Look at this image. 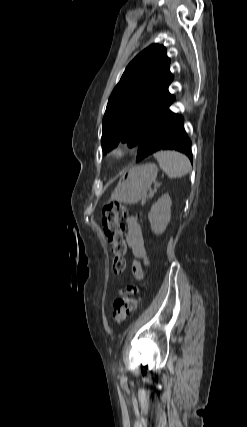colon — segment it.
<instances>
[{
    "label": "colon",
    "instance_id": "colon-1",
    "mask_svg": "<svg viewBox=\"0 0 247 427\" xmlns=\"http://www.w3.org/2000/svg\"><path fill=\"white\" fill-rule=\"evenodd\" d=\"M127 215L124 205L112 202L103 208L102 226L113 255L112 272L121 274L126 268L127 242L122 220ZM131 292H136L135 287H130ZM140 309V298L137 296H124L114 301L112 318L115 322H123L130 315Z\"/></svg>",
    "mask_w": 247,
    "mask_h": 427
}]
</instances>
